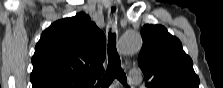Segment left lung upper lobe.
<instances>
[{"instance_id": "5c2ea615", "label": "left lung upper lobe", "mask_w": 223, "mask_h": 88, "mask_svg": "<svg viewBox=\"0 0 223 88\" xmlns=\"http://www.w3.org/2000/svg\"><path fill=\"white\" fill-rule=\"evenodd\" d=\"M143 46L138 65L149 88H199V77L180 40L164 26L145 25L141 29Z\"/></svg>"}]
</instances>
